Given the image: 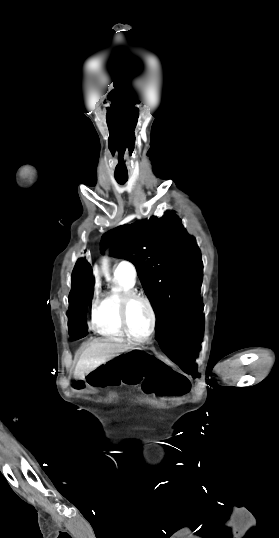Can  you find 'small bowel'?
I'll return each mask as SVG.
<instances>
[{"label":"small bowel","mask_w":279,"mask_h":538,"mask_svg":"<svg viewBox=\"0 0 279 538\" xmlns=\"http://www.w3.org/2000/svg\"><path fill=\"white\" fill-rule=\"evenodd\" d=\"M142 390L159 399L185 396L190 390L189 380L172 369H158L144 376Z\"/></svg>","instance_id":"c3829d8e"}]
</instances>
